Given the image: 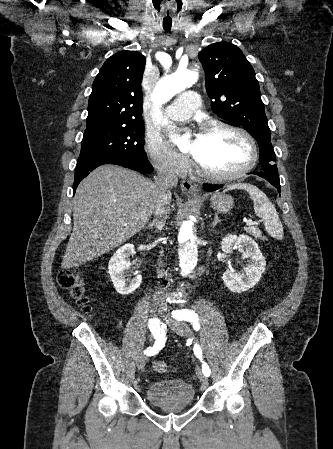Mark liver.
I'll return each mask as SVG.
<instances>
[{"instance_id": "obj_1", "label": "liver", "mask_w": 333, "mask_h": 449, "mask_svg": "<svg viewBox=\"0 0 333 449\" xmlns=\"http://www.w3.org/2000/svg\"><path fill=\"white\" fill-rule=\"evenodd\" d=\"M156 201L155 183L135 171L96 168L76 189L73 233L62 266L82 265L129 240L149 221Z\"/></svg>"}]
</instances>
